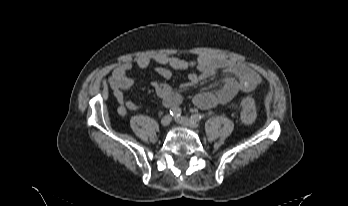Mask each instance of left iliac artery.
<instances>
[{
  "mask_svg": "<svg viewBox=\"0 0 348 206\" xmlns=\"http://www.w3.org/2000/svg\"><path fill=\"white\" fill-rule=\"evenodd\" d=\"M204 118H205V115L204 114H200V113H195V114L191 115V120L195 121V122H198V121H200V120H202Z\"/></svg>",
  "mask_w": 348,
  "mask_h": 206,
  "instance_id": "left-iliac-artery-1",
  "label": "left iliac artery"
}]
</instances>
